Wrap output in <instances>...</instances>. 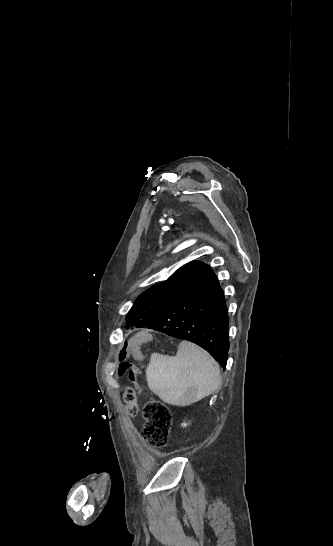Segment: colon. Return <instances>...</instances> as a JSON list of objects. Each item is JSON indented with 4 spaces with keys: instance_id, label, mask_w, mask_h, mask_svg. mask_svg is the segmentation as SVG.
Here are the masks:
<instances>
[{
    "instance_id": "1",
    "label": "colon",
    "mask_w": 333,
    "mask_h": 546,
    "mask_svg": "<svg viewBox=\"0 0 333 546\" xmlns=\"http://www.w3.org/2000/svg\"><path fill=\"white\" fill-rule=\"evenodd\" d=\"M132 344L133 342L126 345L121 353L122 362L119 373L128 376L126 378L128 385H137L138 388H144L145 382L141 381L139 376H136L139 373V368L131 360H124L126 351L130 352ZM124 399L127 403H135L136 393L133 388L128 387L125 390ZM143 416L145 425L142 435L147 444L154 449L166 446L172 428V415L168 407L159 401L149 400L143 407Z\"/></svg>"
}]
</instances>
